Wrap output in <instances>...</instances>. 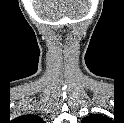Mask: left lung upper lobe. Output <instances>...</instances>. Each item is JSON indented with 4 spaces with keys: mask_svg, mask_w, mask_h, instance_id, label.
Instances as JSON below:
<instances>
[{
    "mask_svg": "<svg viewBox=\"0 0 124 123\" xmlns=\"http://www.w3.org/2000/svg\"><path fill=\"white\" fill-rule=\"evenodd\" d=\"M103 119L100 114H91L82 120V123H97L98 120Z\"/></svg>",
    "mask_w": 124,
    "mask_h": 123,
    "instance_id": "obj_1",
    "label": "left lung upper lobe"
}]
</instances>
